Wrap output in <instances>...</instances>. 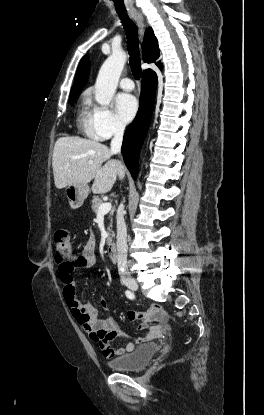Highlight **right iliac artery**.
<instances>
[{
  "label": "right iliac artery",
  "instance_id": "right-iliac-artery-1",
  "mask_svg": "<svg viewBox=\"0 0 264 415\" xmlns=\"http://www.w3.org/2000/svg\"><path fill=\"white\" fill-rule=\"evenodd\" d=\"M125 294L129 299H134L135 298L134 293L129 291V290H126Z\"/></svg>",
  "mask_w": 264,
  "mask_h": 415
}]
</instances>
